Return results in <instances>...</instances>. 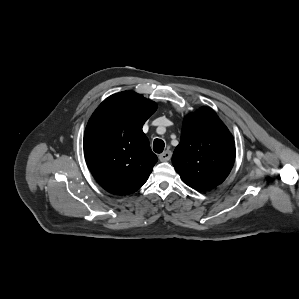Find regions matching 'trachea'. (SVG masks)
I'll use <instances>...</instances> for the list:
<instances>
[{
	"instance_id": "trachea-1",
	"label": "trachea",
	"mask_w": 299,
	"mask_h": 299,
	"mask_svg": "<svg viewBox=\"0 0 299 299\" xmlns=\"http://www.w3.org/2000/svg\"><path fill=\"white\" fill-rule=\"evenodd\" d=\"M165 144L161 139H155L153 143V150L156 153H162L164 150Z\"/></svg>"
}]
</instances>
